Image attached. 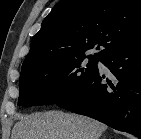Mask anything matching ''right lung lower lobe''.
I'll list each match as a JSON object with an SVG mask.
<instances>
[{"label": "right lung lower lobe", "instance_id": "1", "mask_svg": "<svg viewBox=\"0 0 141 139\" xmlns=\"http://www.w3.org/2000/svg\"><path fill=\"white\" fill-rule=\"evenodd\" d=\"M112 73H96L56 105L89 116L141 139V41L116 49L100 60Z\"/></svg>", "mask_w": 141, "mask_h": 139}]
</instances>
